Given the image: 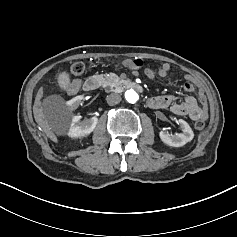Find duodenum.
<instances>
[{"mask_svg":"<svg viewBox=\"0 0 237 237\" xmlns=\"http://www.w3.org/2000/svg\"><path fill=\"white\" fill-rule=\"evenodd\" d=\"M100 84L101 80L98 77L93 76L88 78L84 82L83 89L88 92L95 91L99 88ZM125 84L127 85V87L132 88L138 92H141L143 90V87L136 81L126 80Z\"/></svg>","mask_w":237,"mask_h":237,"instance_id":"410a0bca","label":"duodenum"}]
</instances>
